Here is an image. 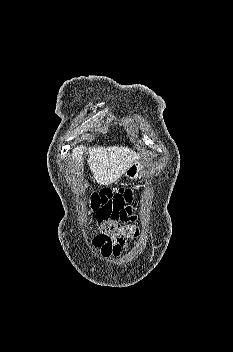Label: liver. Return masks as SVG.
<instances>
[{"label":"liver","mask_w":233,"mask_h":352,"mask_svg":"<svg viewBox=\"0 0 233 352\" xmlns=\"http://www.w3.org/2000/svg\"><path fill=\"white\" fill-rule=\"evenodd\" d=\"M84 151L86 148L83 146H78L72 151V160L75 167L80 170H83ZM139 156L135 151L122 146L89 148L88 164L96 182L100 185H109L125 174Z\"/></svg>","instance_id":"1"}]
</instances>
